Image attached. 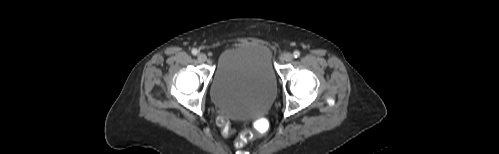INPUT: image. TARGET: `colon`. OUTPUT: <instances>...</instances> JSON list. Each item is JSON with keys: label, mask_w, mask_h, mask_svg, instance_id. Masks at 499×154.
<instances>
[{"label": "colon", "mask_w": 499, "mask_h": 154, "mask_svg": "<svg viewBox=\"0 0 499 154\" xmlns=\"http://www.w3.org/2000/svg\"><path fill=\"white\" fill-rule=\"evenodd\" d=\"M216 121L218 126L222 129L223 134L228 136L230 134L229 120L224 116H218ZM255 130L258 133L263 134L268 130V124L264 121L258 122L255 125ZM253 136H254L253 133L250 131H244L240 133L235 139L236 146L238 147L244 146L249 140L253 138Z\"/></svg>", "instance_id": "5ec220e1"}]
</instances>
